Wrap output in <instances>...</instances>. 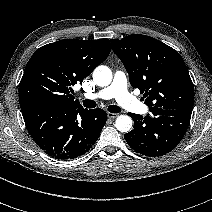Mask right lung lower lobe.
<instances>
[{"instance_id":"98d812e1","label":"right lung lower lobe","mask_w":212,"mask_h":212,"mask_svg":"<svg viewBox=\"0 0 212 212\" xmlns=\"http://www.w3.org/2000/svg\"><path fill=\"white\" fill-rule=\"evenodd\" d=\"M37 145L58 160L74 159L95 144L107 120L104 110L83 107H43L23 115Z\"/></svg>"}]
</instances>
